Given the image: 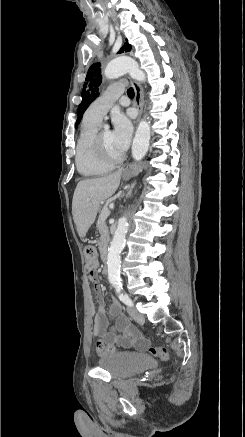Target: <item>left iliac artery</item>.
<instances>
[{
  "label": "left iliac artery",
  "mask_w": 245,
  "mask_h": 437,
  "mask_svg": "<svg viewBox=\"0 0 245 437\" xmlns=\"http://www.w3.org/2000/svg\"><path fill=\"white\" fill-rule=\"evenodd\" d=\"M116 293L118 294L119 299L126 305L132 306V300L130 297L123 291L122 284L120 282H115L114 284Z\"/></svg>",
  "instance_id": "44dca946"
}]
</instances>
